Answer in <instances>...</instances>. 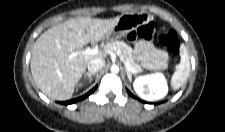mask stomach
I'll use <instances>...</instances> for the list:
<instances>
[{
  "instance_id": "obj_1",
  "label": "stomach",
  "mask_w": 225,
  "mask_h": 132,
  "mask_svg": "<svg viewBox=\"0 0 225 132\" xmlns=\"http://www.w3.org/2000/svg\"><path fill=\"white\" fill-rule=\"evenodd\" d=\"M137 20L138 16L135 17L134 15H122L117 25L106 33L104 39L111 42L117 40L130 29H134V26L137 25ZM142 22H144V19H142Z\"/></svg>"
}]
</instances>
